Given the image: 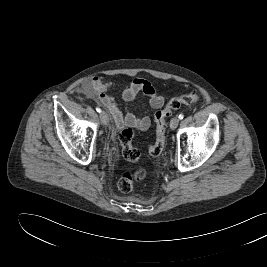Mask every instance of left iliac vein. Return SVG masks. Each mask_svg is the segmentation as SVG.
Instances as JSON below:
<instances>
[{
	"label": "left iliac vein",
	"instance_id": "left-iliac-vein-1",
	"mask_svg": "<svg viewBox=\"0 0 267 267\" xmlns=\"http://www.w3.org/2000/svg\"><path fill=\"white\" fill-rule=\"evenodd\" d=\"M178 124H179V118L178 117H173L171 119V121H170V128L172 130H175L177 128Z\"/></svg>",
	"mask_w": 267,
	"mask_h": 267
}]
</instances>
